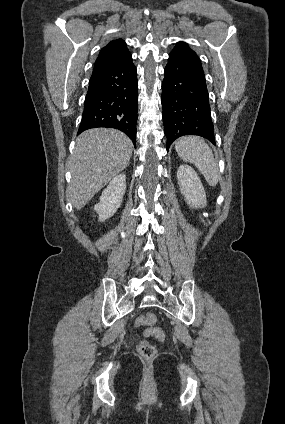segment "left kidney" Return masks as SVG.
I'll use <instances>...</instances> for the list:
<instances>
[{
  "mask_svg": "<svg viewBox=\"0 0 285 424\" xmlns=\"http://www.w3.org/2000/svg\"><path fill=\"white\" fill-rule=\"evenodd\" d=\"M177 179L187 204L193 208H204L206 193L196 171L188 165H181L177 170Z\"/></svg>",
  "mask_w": 285,
  "mask_h": 424,
  "instance_id": "5707ae66",
  "label": "left kidney"
}]
</instances>
